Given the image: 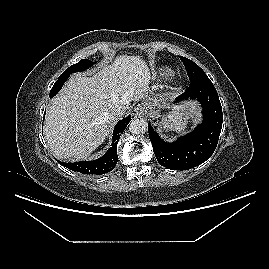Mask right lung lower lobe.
Wrapping results in <instances>:
<instances>
[{
  "label": "right lung lower lobe",
  "instance_id": "right-lung-lower-lobe-1",
  "mask_svg": "<svg viewBox=\"0 0 269 269\" xmlns=\"http://www.w3.org/2000/svg\"><path fill=\"white\" fill-rule=\"evenodd\" d=\"M68 77L69 76L59 77L50 91V98L60 91ZM130 120L131 116H128L116 124L111 147L101 158L93 161H80L74 163L60 162V164L72 171L86 175H101L110 172L116 166L118 161L117 144L120 139V134L124 131Z\"/></svg>",
  "mask_w": 269,
  "mask_h": 269
}]
</instances>
